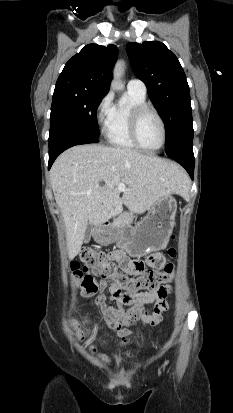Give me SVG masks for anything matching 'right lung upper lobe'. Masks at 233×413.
I'll return each mask as SVG.
<instances>
[{"instance_id": "cb5924a9", "label": "right lung upper lobe", "mask_w": 233, "mask_h": 413, "mask_svg": "<svg viewBox=\"0 0 233 413\" xmlns=\"http://www.w3.org/2000/svg\"><path fill=\"white\" fill-rule=\"evenodd\" d=\"M114 45L89 44L65 65L55 88L74 87L107 94L110 70L117 59Z\"/></svg>"}]
</instances>
